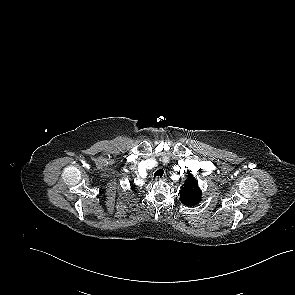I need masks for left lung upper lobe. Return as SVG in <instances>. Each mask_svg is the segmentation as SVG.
<instances>
[{
	"label": "left lung upper lobe",
	"mask_w": 295,
	"mask_h": 295,
	"mask_svg": "<svg viewBox=\"0 0 295 295\" xmlns=\"http://www.w3.org/2000/svg\"><path fill=\"white\" fill-rule=\"evenodd\" d=\"M201 190L193 175L188 172L187 179L180 190V200L186 206H196L201 201Z\"/></svg>",
	"instance_id": "obj_1"
}]
</instances>
